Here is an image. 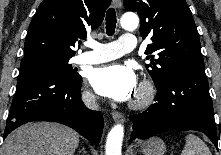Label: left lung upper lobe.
I'll return each instance as SVG.
<instances>
[{"label": "left lung upper lobe", "mask_w": 221, "mask_h": 155, "mask_svg": "<svg viewBox=\"0 0 221 155\" xmlns=\"http://www.w3.org/2000/svg\"><path fill=\"white\" fill-rule=\"evenodd\" d=\"M124 7L136 11L143 39L151 37L146 49L151 61L146 65L157 88L175 73L204 70L199 35L185 0H123ZM154 56H157L155 59Z\"/></svg>", "instance_id": "left-lung-upper-lobe-1"}]
</instances>
